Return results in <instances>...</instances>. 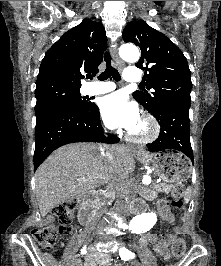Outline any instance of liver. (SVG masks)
<instances>
[{
  "label": "liver",
  "instance_id": "liver-1",
  "mask_svg": "<svg viewBox=\"0 0 221 266\" xmlns=\"http://www.w3.org/2000/svg\"><path fill=\"white\" fill-rule=\"evenodd\" d=\"M114 160L109 162L92 143H73L54 151L39 166L35 175L36 197L42 217L59 204L92 191L118 176L127 177L135 161L124 146L111 147ZM95 177V178H94ZM85 178L84 181H78Z\"/></svg>",
  "mask_w": 221,
  "mask_h": 266
}]
</instances>
